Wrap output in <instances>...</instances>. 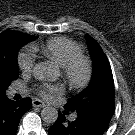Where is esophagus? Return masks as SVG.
<instances>
[{"mask_svg":"<svg viewBox=\"0 0 135 135\" xmlns=\"http://www.w3.org/2000/svg\"><path fill=\"white\" fill-rule=\"evenodd\" d=\"M33 106L34 107H45L46 104L43 101H41L40 99H34Z\"/></svg>","mask_w":135,"mask_h":135,"instance_id":"34e87169","label":"esophagus"}]
</instances>
